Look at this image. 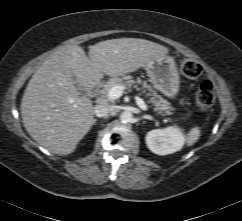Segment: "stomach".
Masks as SVG:
<instances>
[{
  "instance_id": "0dacf381",
  "label": "stomach",
  "mask_w": 242,
  "mask_h": 221,
  "mask_svg": "<svg viewBox=\"0 0 242 221\" xmlns=\"http://www.w3.org/2000/svg\"><path fill=\"white\" fill-rule=\"evenodd\" d=\"M153 87L169 98H175L179 92L180 77L175 60L164 56L153 60L146 67Z\"/></svg>"
}]
</instances>
